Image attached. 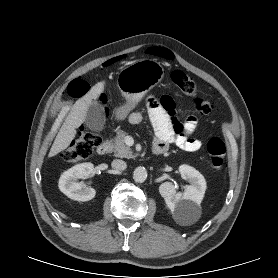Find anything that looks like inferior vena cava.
<instances>
[{"label": "inferior vena cava", "instance_id": "602c4592", "mask_svg": "<svg viewBox=\"0 0 278 278\" xmlns=\"http://www.w3.org/2000/svg\"><path fill=\"white\" fill-rule=\"evenodd\" d=\"M111 166L116 170H125L127 168L126 162L120 159L113 160Z\"/></svg>", "mask_w": 278, "mask_h": 278}]
</instances>
